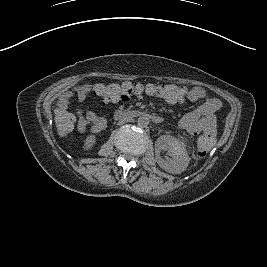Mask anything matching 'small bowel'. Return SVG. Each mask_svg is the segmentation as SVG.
Instances as JSON below:
<instances>
[{
	"label": "small bowel",
	"instance_id": "c3829d8e",
	"mask_svg": "<svg viewBox=\"0 0 267 267\" xmlns=\"http://www.w3.org/2000/svg\"><path fill=\"white\" fill-rule=\"evenodd\" d=\"M184 95L179 103L188 100L191 102H198L204 99V102L185 114L178 122L179 128L187 131L190 134L197 135L201 132H209L215 135L217 130V118L215 113L222 108V102L218 98H209L204 89L200 87H193L190 89L181 88ZM91 90L90 84H81L72 88L64 95L60 101V109H66L69 101L73 97H77L79 101H84ZM177 103V102H173ZM78 115V129L81 132L90 131L92 133H99L106 126L104 118L97 116L91 110L79 109Z\"/></svg>",
	"mask_w": 267,
	"mask_h": 267
}]
</instances>
